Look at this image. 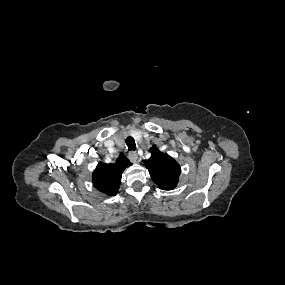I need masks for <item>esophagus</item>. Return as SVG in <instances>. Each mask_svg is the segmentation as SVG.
Instances as JSON below:
<instances>
[{"label": "esophagus", "instance_id": "esophagus-1", "mask_svg": "<svg viewBox=\"0 0 285 285\" xmlns=\"http://www.w3.org/2000/svg\"><path fill=\"white\" fill-rule=\"evenodd\" d=\"M128 157H129L131 162H137V160H138V155L134 151L129 152Z\"/></svg>", "mask_w": 285, "mask_h": 285}]
</instances>
